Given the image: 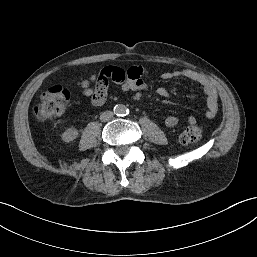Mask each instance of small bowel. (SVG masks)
<instances>
[{"mask_svg": "<svg viewBox=\"0 0 257 257\" xmlns=\"http://www.w3.org/2000/svg\"><path fill=\"white\" fill-rule=\"evenodd\" d=\"M98 76L104 77L107 81L112 80L122 91H145L148 89V84L145 80L146 70L142 66H131L127 69L118 66H106L100 71ZM161 77L164 80L183 78L199 85L206 99V117L213 119L217 116L218 93L206 76L191 69H181L165 71ZM107 91L108 85L103 89L88 85L81 90V94L90 98L92 106L99 107L105 103ZM155 92L160 97L166 98L169 96V90L165 87H158ZM178 122V118L174 115H168L164 119V124L169 128L177 126ZM196 122L195 116L191 115L188 117L189 124L194 125Z\"/></svg>", "mask_w": 257, "mask_h": 257, "instance_id": "small-bowel-1", "label": "small bowel"}]
</instances>
